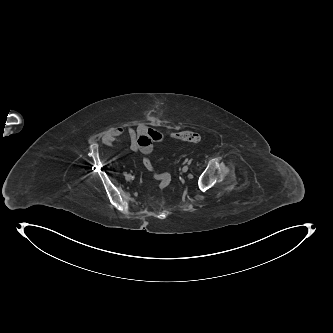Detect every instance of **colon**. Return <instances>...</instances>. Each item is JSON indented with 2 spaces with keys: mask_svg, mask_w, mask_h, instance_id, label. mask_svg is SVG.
Here are the masks:
<instances>
[{
  "mask_svg": "<svg viewBox=\"0 0 333 333\" xmlns=\"http://www.w3.org/2000/svg\"><path fill=\"white\" fill-rule=\"evenodd\" d=\"M172 139L175 140H181L193 144H197L201 140V136L197 132H192V131H184V132H178V133H172L170 135ZM144 165L146 168L152 172L153 177L155 180L158 182V187L161 190L166 189L170 183H171V177L167 173H158L154 170V167L151 163V160L147 157L144 158Z\"/></svg>",
  "mask_w": 333,
  "mask_h": 333,
  "instance_id": "obj_1",
  "label": "colon"
}]
</instances>
